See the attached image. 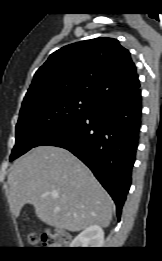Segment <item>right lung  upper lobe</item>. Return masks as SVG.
<instances>
[{"label": "right lung upper lobe", "instance_id": "right-lung-upper-lobe-1", "mask_svg": "<svg viewBox=\"0 0 162 261\" xmlns=\"http://www.w3.org/2000/svg\"><path fill=\"white\" fill-rule=\"evenodd\" d=\"M138 87L129 51L118 40L103 37L73 43L52 53L35 73L24 100L77 95L97 102Z\"/></svg>", "mask_w": 162, "mask_h": 261}]
</instances>
